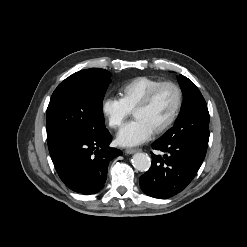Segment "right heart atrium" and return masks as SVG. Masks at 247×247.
Instances as JSON below:
<instances>
[{"instance_id": "1", "label": "right heart atrium", "mask_w": 247, "mask_h": 247, "mask_svg": "<svg viewBox=\"0 0 247 247\" xmlns=\"http://www.w3.org/2000/svg\"><path fill=\"white\" fill-rule=\"evenodd\" d=\"M101 111L108 125L113 129L119 128L131 112L120 98L114 96H106L102 99Z\"/></svg>"}]
</instances>
